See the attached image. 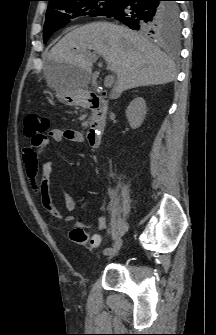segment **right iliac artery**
I'll return each instance as SVG.
<instances>
[{"label": "right iliac artery", "mask_w": 216, "mask_h": 335, "mask_svg": "<svg viewBox=\"0 0 216 335\" xmlns=\"http://www.w3.org/2000/svg\"><path fill=\"white\" fill-rule=\"evenodd\" d=\"M110 251H111V248H110V247H107V248L104 249L103 253H104L105 255H107Z\"/></svg>", "instance_id": "right-iliac-artery-1"}]
</instances>
